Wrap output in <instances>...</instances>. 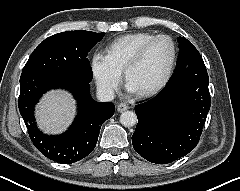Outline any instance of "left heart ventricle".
I'll use <instances>...</instances> for the list:
<instances>
[{"instance_id": "left-heart-ventricle-1", "label": "left heart ventricle", "mask_w": 240, "mask_h": 191, "mask_svg": "<svg viewBox=\"0 0 240 191\" xmlns=\"http://www.w3.org/2000/svg\"><path fill=\"white\" fill-rule=\"evenodd\" d=\"M171 59V45L167 40L155 41L148 49L143 60L134 67L127 82L136 91L151 88L164 77Z\"/></svg>"}]
</instances>
